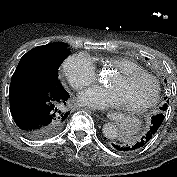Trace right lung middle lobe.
<instances>
[{
	"label": "right lung middle lobe",
	"instance_id": "right-lung-middle-lobe-1",
	"mask_svg": "<svg viewBox=\"0 0 177 177\" xmlns=\"http://www.w3.org/2000/svg\"><path fill=\"white\" fill-rule=\"evenodd\" d=\"M68 55L67 46L63 43H53L50 48L44 45L32 49L21 58L11 84H33L63 90L58 69Z\"/></svg>",
	"mask_w": 177,
	"mask_h": 177
}]
</instances>
